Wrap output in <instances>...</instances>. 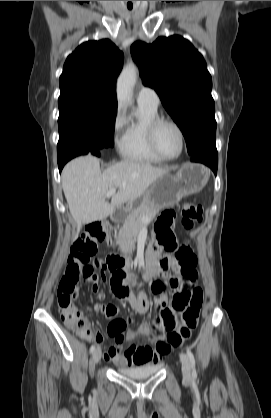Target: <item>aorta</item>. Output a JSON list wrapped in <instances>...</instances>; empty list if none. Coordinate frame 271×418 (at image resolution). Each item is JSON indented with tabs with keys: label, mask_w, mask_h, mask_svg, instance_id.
<instances>
[{
	"label": "aorta",
	"mask_w": 271,
	"mask_h": 418,
	"mask_svg": "<svg viewBox=\"0 0 271 418\" xmlns=\"http://www.w3.org/2000/svg\"><path fill=\"white\" fill-rule=\"evenodd\" d=\"M137 79V69L133 64H128L121 72L117 80V98L119 103H130L133 87Z\"/></svg>",
	"instance_id": "obj_1"
}]
</instances>
